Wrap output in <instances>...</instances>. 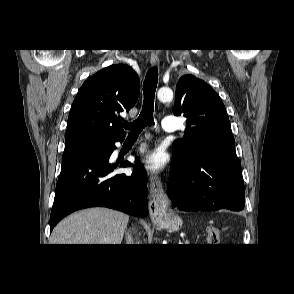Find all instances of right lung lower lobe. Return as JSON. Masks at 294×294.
I'll list each match as a JSON object with an SVG mask.
<instances>
[{
    "instance_id": "98d812e1",
    "label": "right lung lower lobe",
    "mask_w": 294,
    "mask_h": 294,
    "mask_svg": "<svg viewBox=\"0 0 294 294\" xmlns=\"http://www.w3.org/2000/svg\"><path fill=\"white\" fill-rule=\"evenodd\" d=\"M99 148L63 154L50 216V232L68 214L88 207H108L134 216H146L147 175L137 167L132 174H115L114 170L134 166L130 162L110 164L115 142Z\"/></svg>"
}]
</instances>
